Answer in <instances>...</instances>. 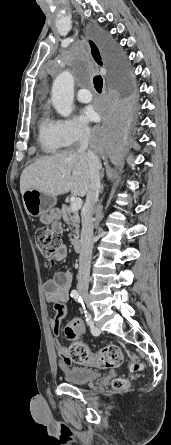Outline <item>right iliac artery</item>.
Listing matches in <instances>:
<instances>
[{"instance_id":"82829eb1","label":"right iliac artery","mask_w":171,"mask_h":445,"mask_svg":"<svg viewBox=\"0 0 171 445\" xmlns=\"http://www.w3.org/2000/svg\"><path fill=\"white\" fill-rule=\"evenodd\" d=\"M71 297L74 298L77 302L81 303L83 308H85L84 304H83V300H82L80 294L76 290L71 291ZM85 313H86V311H85ZM86 320H87L88 324L90 325L91 324L90 316H88Z\"/></svg>"}]
</instances>
